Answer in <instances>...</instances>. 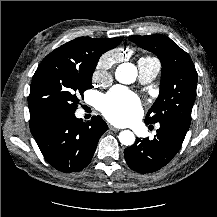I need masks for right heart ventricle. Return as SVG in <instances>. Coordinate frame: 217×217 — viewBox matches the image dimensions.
<instances>
[{"mask_svg":"<svg viewBox=\"0 0 217 217\" xmlns=\"http://www.w3.org/2000/svg\"><path fill=\"white\" fill-rule=\"evenodd\" d=\"M141 59H152V58H150V57H143V58H141ZM141 59H140V60H141Z\"/></svg>","mask_w":217,"mask_h":217,"instance_id":"obj_1","label":"right heart ventricle"}]
</instances>
